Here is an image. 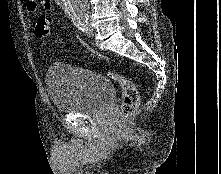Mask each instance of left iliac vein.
<instances>
[{
	"mask_svg": "<svg viewBox=\"0 0 221 174\" xmlns=\"http://www.w3.org/2000/svg\"><path fill=\"white\" fill-rule=\"evenodd\" d=\"M85 33L89 37L93 36L94 31H93V27L90 24H86Z\"/></svg>",
	"mask_w": 221,
	"mask_h": 174,
	"instance_id": "4c4485c4",
	"label": "left iliac vein"
}]
</instances>
